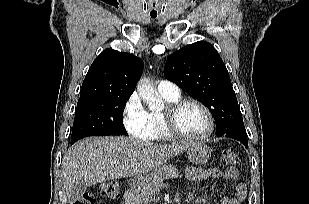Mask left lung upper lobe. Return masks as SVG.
<instances>
[{
  "mask_svg": "<svg viewBox=\"0 0 309 204\" xmlns=\"http://www.w3.org/2000/svg\"><path fill=\"white\" fill-rule=\"evenodd\" d=\"M164 76L210 110L217 135L244 126L228 70L210 43L198 41L171 54Z\"/></svg>",
  "mask_w": 309,
  "mask_h": 204,
  "instance_id": "obj_1",
  "label": "left lung upper lobe"
}]
</instances>
